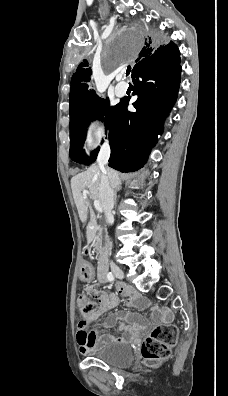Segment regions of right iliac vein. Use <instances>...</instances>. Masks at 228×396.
<instances>
[{"mask_svg": "<svg viewBox=\"0 0 228 396\" xmlns=\"http://www.w3.org/2000/svg\"><path fill=\"white\" fill-rule=\"evenodd\" d=\"M111 270L113 272V274L115 275V277L119 278V279H123L124 278V272L122 271V269L117 266L114 263H111Z\"/></svg>", "mask_w": 228, "mask_h": 396, "instance_id": "1", "label": "right iliac vein"}]
</instances>
